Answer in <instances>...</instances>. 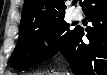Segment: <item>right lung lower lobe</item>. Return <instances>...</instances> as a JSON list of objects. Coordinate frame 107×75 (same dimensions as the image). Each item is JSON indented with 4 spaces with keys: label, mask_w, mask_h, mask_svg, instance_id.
<instances>
[{
    "label": "right lung lower lobe",
    "mask_w": 107,
    "mask_h": 75,
    "mask_svg": "<svg viewBox=\"0 0 107 75\" xmlns=\"http://www.w3.org/2000/svg\"><path fill=\"white\" fill-rule=\"evenodd\" d=\"M81 5L93 23L85 29L89 42H83L84 30L77 28L60 52L76 75H107V0H84Z\"/></svg>",
    "instance_id": "1"
}]
</instances>
